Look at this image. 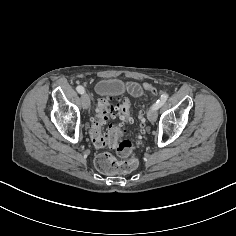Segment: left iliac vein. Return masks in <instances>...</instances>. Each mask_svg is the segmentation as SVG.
Returning a JSON list of instances; mask_svg holds the SVG:
<instances>
[{
    "instance_id": "obj_1",
    "label": "left iliac vein",
    "mask_w": 236,
    "mask_h": 236,
    "mask_svg": "<svg viewBox=\"0 0 236 236\" xmlns=\"http://www.w3.org/2000/svg\"><path fill=\"white\" fill-rule=\"evenodd\" d=\"M157 116V111L152 106L147 113L148 120L151 122H155L157 120Z\"/></svg>"
}]
</instances>
